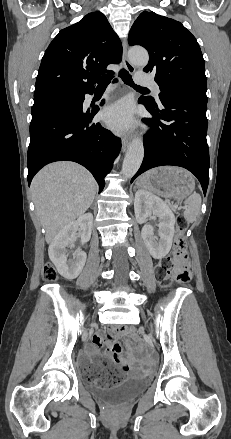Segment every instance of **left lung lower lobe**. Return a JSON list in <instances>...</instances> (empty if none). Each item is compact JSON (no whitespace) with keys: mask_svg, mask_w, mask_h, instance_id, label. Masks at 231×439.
Instances as JSON below:
<instances>
[{"mask_svg":"<svg viewBox=\"0 0 231 439\" xmlns=\"http://www.w3.org/2000/svg\"><path fill=\"white\" fill-rule=\"evenodd\" d=\"M160 102L141 97L153 118H144L151 130L145 136L142 165L131 182L143 172L163 165L186 168L200 181L204 195L209 182L206 92L177 89L159 95Z\"/></svg>","mask_w":231,"mask_h":439,"instance_id":"left-lung-lower-lobe-1","label":"left lung lower lobe"}]
</instances>
